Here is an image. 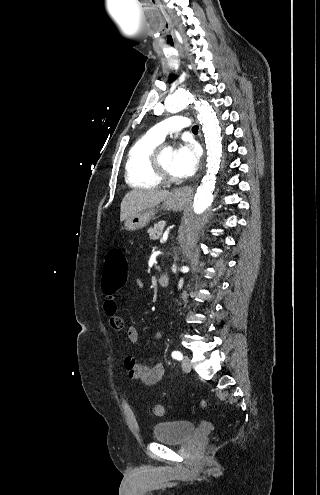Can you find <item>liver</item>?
I'll return each instance as SVG.
<instances>
[{
	"mask_svg": "<svg viewBox=\"0 0 320 495\" xmlns=\"http://www.w3.org/2000/svg\"><path fill=\"white\" fill-rule=\"evenodd\" d=\"M169 195L170 192L166 190L134 189L128 192L121 202L120 221L136 212L155 207Z\"/></svg>",
	"mask_w": 320,
	"mask_h": 495,
	"instance_id": "1",
	"label": "liver"
}]
</instances>
